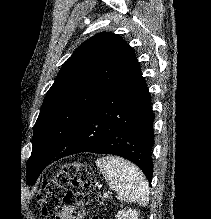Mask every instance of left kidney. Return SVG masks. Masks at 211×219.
Returning <instances> with one entry per match:
<instances>
[{
    "label": "left kidney",
    "mask_w": 211,
    "mask_h": 219,
    "mask_svg": "<svg viewBox=\"0 0 211 219\" xmlns=\"http://www.w3.org/2000/svg\"><path fill=\"white\" fill-rule=\"evenodd\" d=\"M139 213L134 209L121 210L117 213V219H139Z\"/></svg>",
    "instance_id": "obj_1"
}]
</instances>
